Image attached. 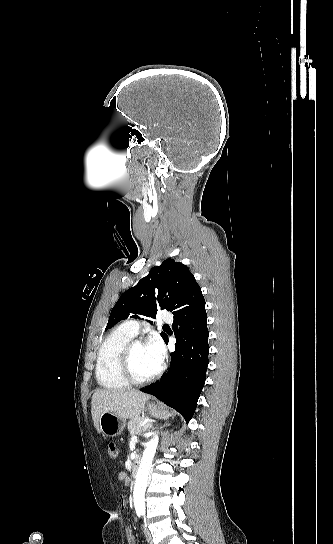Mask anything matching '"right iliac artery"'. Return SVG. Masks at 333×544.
<instances>
[{"instance_id": "82829eb1", "label": "right iliac artery", "mask_w": 333, "mask_h": 544, "mask_svg": "<svg viewBox=\"0 0 333 544\" xmlns=\"http://www.w3.org/2000/svg\"><path fill=\"white\" fill-rule=\"evenodd\" d=\"M138 516L140 517V516H141V513H138Z\"/></svg>"}]
</instances>
